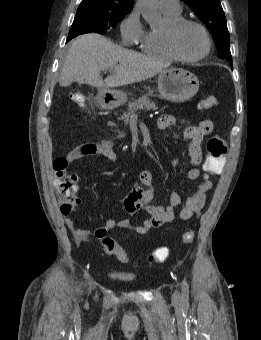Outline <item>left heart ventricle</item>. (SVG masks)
<instances>
[{
    "label": "left heart ventricle",
    "instance_id": "b2bd125f",
    "mask_svg": "<svg viewBox=\"0 0 261 340\" xmlns=\"http://www.w3.org/2000/svg\"><path fill=\"white\" fill-rule=\"evenodd\" d=\"M177 47L186 57L198 56L206 48L205 37L198 27L186 25L178 34Z\"/></svg>",
    "mask_w": 261,
    "mask_h": 340
}]
</instances>
